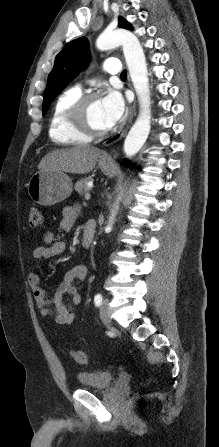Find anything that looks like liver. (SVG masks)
<instances>
[{"label":"liver","mask_w":219,"mask_h":447,"mask_svg":"<svg viewBox=\"0 0 219 447\" xmlns=\"http://www.w3.org/2000/svg\"><path fill=\"white\" fill-rule=\"evenodd\" d=\"M102 151L95 147L75 146L57 149L40 161V170H54L74 174H85L93 170Z\"/></svg>","instance_id":"obj_1"}]
</instances>
